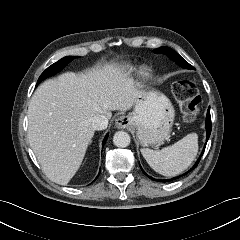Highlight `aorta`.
Returning <instances> with one entry per match:
<instances>
[{
    "label": "aorta",
    "mask_w": 240,
    "mask_h": 240,
    "mask_svg": "<svg viewBox=\"0 0 240 240\" xmlns=\"http://www.w3.org/2000/svg\"><path fill=\"white\" fill-rule=\"evenodd\" d=\"M131 142L130 135L124 131H118L113 136V143L115 146L125 148L129 146Z\"/></svg>",
    "instance_id": "aorta-1"
}]
</instances>
